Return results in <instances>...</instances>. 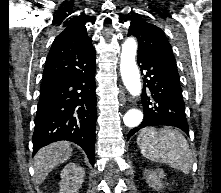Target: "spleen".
Instances as JSON below:
<instances>
[{"mask_svg": "<svg viewBox=\"0 0 221 193\" xmlns=\"http://www.w3.org/2000/svg\"><path fill=\"white\" fill-rule=\"evenodd\" d=\"M137 144L142 155L153 162L167 164L185 174L192 168L193 160L187 140L175 128H144L139 133Z\"/></svg>", "mask_w": 221, "mask_h": 193, "instance_id": "1", "label": "spleen"}]
</instances>
